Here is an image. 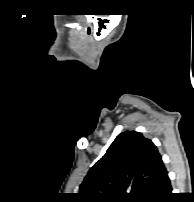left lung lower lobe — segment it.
Segmentation results:
<instances>
[{"label": "left lung lower lobe", "mask_w": 194, "mask_h": 202, "mask_svg": "<svg viewBox=\"0 0 194 202\" xmlns=\"http://www.w3.org/2000/svg\"><path fill=\"white\" fill-rule=\"evenodd\" d=\"M172 197V187L168 177V173L165 170L160 179L159 186L156 190L155 197L152 202H169Z\"/></svg>", "instance_id": "0a47b994"}]
</instances>
